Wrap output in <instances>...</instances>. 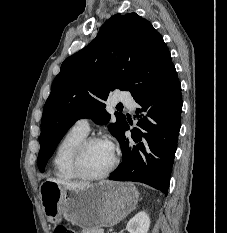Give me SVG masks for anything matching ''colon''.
Instances as JSON below:
<instances>
[{
    "instance_id": "colon-1",
    "label": "colon",
    "mask_w": 227,
    "mask_h": 233,
    "mask_svg": "<svg viewBox=\"0 0 227 233\" xmlns=\"http://www.w3.org/2000/svg\"><path fill=\"white\" fill-rule=\"evenodd\" d=\"M54 233H76V232L65 226H57L54 230Z\"/></svg>"
}]
</instances>
